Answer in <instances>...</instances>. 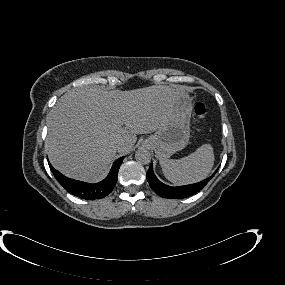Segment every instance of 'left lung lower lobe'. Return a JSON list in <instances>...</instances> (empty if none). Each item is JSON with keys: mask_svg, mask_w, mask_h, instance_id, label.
<instances>
[{"mask_svg": "<svg viewBox=\"0 0 285 285\" xmlns=\"http://www.w3.org/2000/svg\"><path fill=\"white\" fill-rule=\"evenodd\" d=\"M213 176L214 174L211 177L201 182H198L196 184L179 186V187H171V186L163 184L157 179V177L155 176L153 172L152 164L150 165L149 170L146 175L151 189L154 192H156V194H158L159 196L163 198H170V199H181V198H186V197L194 195L195 193L200 191L209 182V180Z\"/></svg>", "mask_w": 285, "mask_h": 285, "instance_id": "1", "label": "left lung lower lobe"}]
</instances>
